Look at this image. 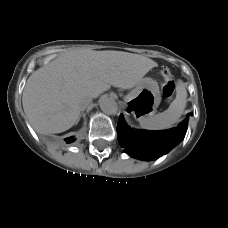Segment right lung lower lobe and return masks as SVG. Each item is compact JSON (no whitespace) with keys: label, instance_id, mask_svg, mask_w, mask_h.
Segmentation results:
<instances>
[{"label":"right lung lower lobe","instance_id":"98d812e1","mask_svg":"<svg viewBox=\"0 0 228 228\" xmlns=\"http://www.w3.org/2000/svg\"><path fill=\"white\" fill-rule=\"evenodd\" d=\"M67 144L74 142L76 139L73 136L64 139Z\"/></svg>","mask_w":228,"mask_h":228}]
</instances>
